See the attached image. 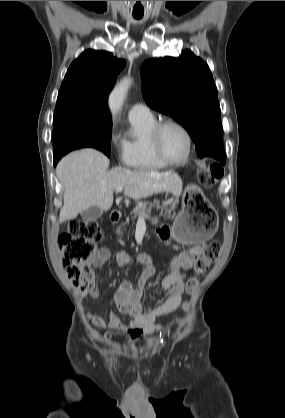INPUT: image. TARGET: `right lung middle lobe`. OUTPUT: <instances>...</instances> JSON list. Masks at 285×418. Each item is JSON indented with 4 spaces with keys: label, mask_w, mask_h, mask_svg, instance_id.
Segmentation results:
<instances>
[{
    "label": "right lung middle lobe",
    "mask_w": 285,
    "mask_h": 418,
    "mask_svg": "<svg viewBox=\"0 0 285 418\" xmlns=\"http://www.w3.org/2000/svg\"><path fill=\"white\" fill-rule=\"evenodd\" d=\"M112 121L109 113L76 106L56 107L53 117L54 159L92 147L110 156Z\"/></svg>",
    "instance_id": "obj_1"
}]
</instances>
